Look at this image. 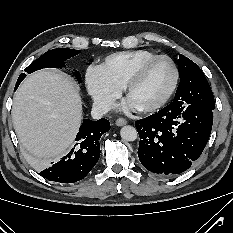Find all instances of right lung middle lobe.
<instances>
[{"mask_svg": "<svg viewBox=\"0 0 233 233\" xmlns=\"http://www.w3.org/2000/svg\"><path fill=\"white\" fill-rule=\"evenodd\" d=\"M80 53L79 50H73L68 48H57L47 51L41 57L33 61L24 71L28 74L40 70L42 68H61L65 67V61L70 59L73 56H76ZM75 77L80 82L81 75L79 72L75 71ZM26 74L22 73L19 76V79H24Z\"/></svg>", "mask_w": 233, "mask_h": 233, "instance_id": "right-lung-middle-lobe-1", "label": "right lung middle lobe"}]
</instances>
